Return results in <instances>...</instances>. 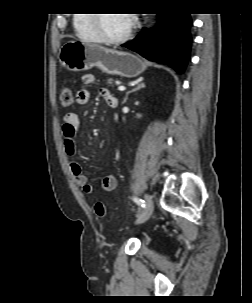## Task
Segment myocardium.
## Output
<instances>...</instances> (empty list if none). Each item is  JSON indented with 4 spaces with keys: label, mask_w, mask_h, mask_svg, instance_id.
I'll return each mask as SVG.
<instances>
[{
    "label": "myocardium",
    "mask_w": 252,
    "mask_h": 303,
    "mask_svg": "<svg viewBox=\"0 0 252 303\" xmlns=\"http://www.w3.org/2000/svg\"><path fill=\"white\" fill-rule=\"evenodd\" d=\"M93 15H94V22H95L97 32H98L101 40L105 43L119 44V43L126 41L131 36V34L136 26L135 17H133L132 14H128V16L130 17V25L127 28V30L120 36L111 37V36H108L102 28V20H103L104 14H93Z\"/></svg>",
    "instance_id": "myocardium-1"
}]
</instances>
